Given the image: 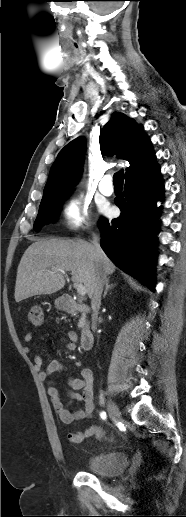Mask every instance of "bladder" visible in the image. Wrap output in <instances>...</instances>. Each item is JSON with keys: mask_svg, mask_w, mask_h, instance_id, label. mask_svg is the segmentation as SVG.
Here are the masks:
<instances>
[{"mask_svg": "<svg viewBox=\"0 0 186 517\" xmlns=\"http://www.w3.org/2000/svg\"><path fill=\"white\" fill-rule=\"evenodd\" d=\"M128 466L125 452H113L91 456L86 463L87 470L95 475L113 477L121 474Z\"/></svg>", "mask_w": 186, "mask_h": 517, "instance_id": "bladder-1", "label": "bladder"}]
</instances>
